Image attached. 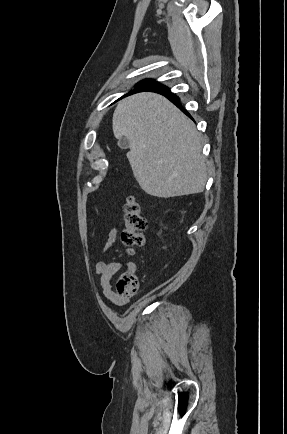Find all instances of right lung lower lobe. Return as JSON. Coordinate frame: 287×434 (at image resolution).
Returning <instances> with one entry per match:
<instances>
[{
  "mask_svg": "<svg viewBox=\"0 0 287 434\" xmlns=\"http://www.w3.org/2000/svg\"><path fill=\"white\" fill-rule=\"evenodd\" d=\"M156 93L162 94L164 96H166L172 103H174L176 106H178L182 111H184L186 114H188L180 105V100L177 96H175L174 94H172L170 92V90L167 87H164L162 90L160 91H155Z\"/></svg>",
  "mask_w": 287,
  "mask_h": 434,
  "instance_id": "right-lung-lower-lobe-1",
  "label": "right lung lower lobe"
}]
</instances>
